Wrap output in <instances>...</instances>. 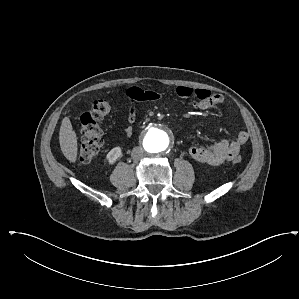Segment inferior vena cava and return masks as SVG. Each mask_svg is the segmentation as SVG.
Returning a JSON list of instances; mask_svg holds the SVG:
<instances>
[{"instance_id": "obj_1", "label": "inferior vena cava", "mask_w": 299, "mask_h": 299, "mask_svg": "<svg viewBox=\"0 0 299 299\" xmlns=\"http://www.w3.org/2000/svg\"><path fill=\"white\" fill-rule=\"evenodd\" d=\"M144 149L142 147H134L131 153L133 160L139 161L143 158Z\"/></svg>"}]
</instances>
